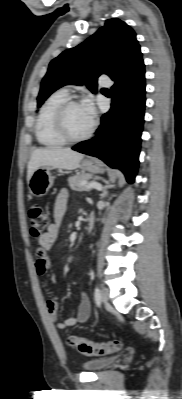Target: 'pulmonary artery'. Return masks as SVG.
<instances>
[{
    "instance_id": "pulmonary-artery-1",
    "label": "pulmonary artery",
    "mask_w": 182,
    "mask_h": 399,
    "mask_svg": "<svg viewBox=\"0 0 182 399\" xmlns=\"http://www.w3.org/2000/svg\"><path fill=\"white\" fill-rule=\"evenodd\" d=\"M100 84L102 86H110L111 85V81L109 79H103L100 81ZM65 91H68V87L64 88Z\"/></svg>"
}]
</instances>
